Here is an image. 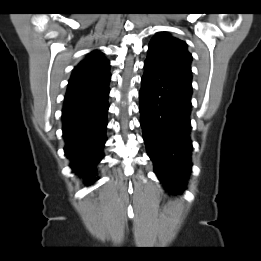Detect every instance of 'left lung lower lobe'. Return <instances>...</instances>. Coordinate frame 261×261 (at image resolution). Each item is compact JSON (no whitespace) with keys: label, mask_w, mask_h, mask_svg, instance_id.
I'll return each mask as SVG.
<instances>
[{"label":"left lung lower lobe","mask_w":261,"mask_h":261,"mask_svg":"<svg viewBox=\"0 0 261 261\" xmlns=\"http://www.w3.org/2000/svg\"><path fill=\"white\" fill-rule=\"evenodd\" d=\"M191 79L145 62L140 123L155 173L171 193L181 192L192 168Z\"/></svg>","instance_id":"1"}]
</instances>
